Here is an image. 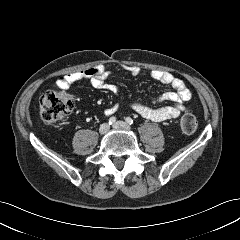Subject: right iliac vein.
Returning <instances> with one entry per match:
<instances>
[{
    "label": "right iliac vein",
    "instance_id": "63e3f726",
    "mask_svg": "<svg viewBox=\"0 0 240 240\" xmlns=\"http://www.w3.org/2000/svg\"><path fill=\"white\" fill-rule=\"evenodd\" d=\"M109 129H110V126L107 123H104L100 126L99 132L101 134H106L109 131Z\"/></svg>",
    "mask_w": 240,
    "mask_h": 240
}]
</instances>
